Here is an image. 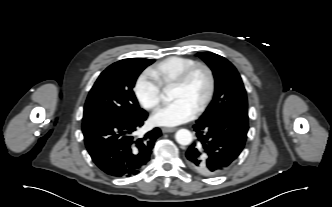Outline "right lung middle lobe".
<instances>
[{"mask_svg":"<svg viewBox=\"0 0 332 207\" xmlns=\"http://www.w3.org/2000/svg\"><path fill=\"white\" fill-rule=\"evenodd\" d=\"M154 60L130 58L105 69L87 97L83 123L96 118L129 119L144 112L133 88L139 74Z\"/></svg>","mask_w":332,"mask_h":207,"instance_id":"right-lung-middle-lobe-1","label":"right lung middle lobe"}]
</instances>
